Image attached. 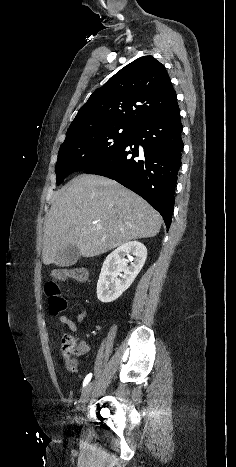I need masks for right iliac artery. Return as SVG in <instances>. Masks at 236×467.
Here are the masks:
<instances>
[{
	"mask_svg": "<svg viewBox=\"0 0 236 467\" xmlns=\"http://www.w3.org/2000/svg\"><path fill=\"white\" fill-rule=\"evenodd\" d=\"M91 378H92V373H89V374L85 377V379H84L83 387H85V386L89 383V381L91 380Z\"/></svg>",
	"mask_w": 236,
	"mask_h": 467,
	"instance_id": "obj_1",
	"label": "right iliac artery"
}]
</instances>
